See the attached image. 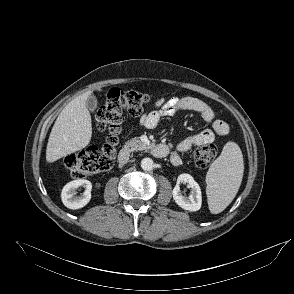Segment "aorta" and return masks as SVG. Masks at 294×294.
<instances>
[{
	"label": "aorta",
	"mask_w": 294,
	"mask_h": 294,
	"mask_svg": "<svg viewBox=\"0 0 294 294\" xmlns=\"http://www.w3.org/2000/svg\"><path fill=\"white\" fill-rule=\"evenodd\" d=\"M141 168L145 171H150L154 168V162L151 158H143L141 160Z\"/></svg>",
	"instance_id": "obj_1"
}]
</instances>
